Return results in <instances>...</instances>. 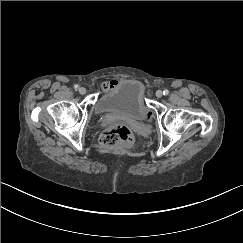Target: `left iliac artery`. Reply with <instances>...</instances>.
Here are the masks:
<instances>
[{
    "label": "left iliac artery",
    "instance_id": "left-iliac-artery-1",
    "mask_svg": "<svg viewBox=\"0 0 243 243\" xmlns=\"http://www.w3.org/2000/svg\"><path fill=\"white\" fill-rule=\"evenodd\" d=\"M168 93H169V91H168L167 89H165V90L163 91V94H164V95H168Z\"/></svg>",
    "mask_w": 243,
    "mask_h": 243
}]
</instances>
